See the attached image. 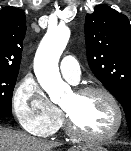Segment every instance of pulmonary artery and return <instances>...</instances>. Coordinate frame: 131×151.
<instances>
[{
  "label": "pulmonary artery",
  "mask_w": 131,
  "mask_h": 151,
  "mask_svg": "<svg viewBox=\"0 0 131 151\" xmlns=\"http://www.w3.org/2000/svg\"><path fill=\"white\" fill-rule=\"evenodd\" d=\"M60 71L62 76L72 83H77L80 79L81 71L75 57L65 56L60 63Z\"/></svg>",
  "instance_id": "pulmonary-artery-1"
}]
</instances>
